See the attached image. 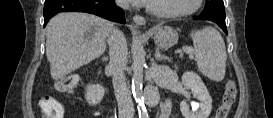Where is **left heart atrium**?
I'll return each mask as SVG.
<instances>
[{
    "label": "left heart atrium",
    "instance_id": "left-heart-atrium-1",
    "mask_svg": "<svg viewBox=\"0 0 273 118\" xmlns=\"http://www.w3.org/2000/svg\"><path fill=\"white\" fill-rule=\"evenodd\" d=\"M134 1H137L138 3H141V4L151 3V0H134Z\"/></svg>",
    "mask_w": 273,
    "mask_h": 118
}]
</instances>
